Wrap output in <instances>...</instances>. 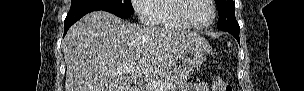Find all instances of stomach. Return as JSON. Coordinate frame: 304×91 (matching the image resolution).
I'll use <instances>...</instances> for the list:
<instances>
[{
	"mask_svg": "<svg viewBox=\"0 0 304 91\" xmlns=\"http://www.w3.org/2000/svg\"><path fill=\"white\" fill-rule=\"evenodd\" d=\"M210 53L211 48L210 46L208 47V43H194L184 50L180 59L190 67L198 68L202 65L205 55Z\"/></svg>",
	"mask_w": 304,
	"mask_h": 91,
	"instance_id": "obj_1",
	"label": "stomach"
}]
</instances>
